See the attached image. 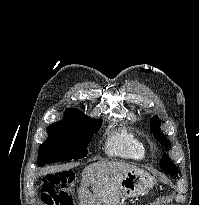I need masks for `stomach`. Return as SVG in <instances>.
<instances>
[{"mask_svg":"<svg viewBox=\"0 0 199 205\" xmlns=\"http://www.w3.org/2000/svg\"><path fill=\"white\" fill-rule=\"evenodd\" d=\"M153 184V177L145 171L128 173L121 183L120 197L122 200L136 197L150 190Z\"/></svg>","mask_w":199,"mask_h":205,"instance_id":"1","label":"stomach"}]
</instances>
